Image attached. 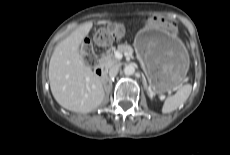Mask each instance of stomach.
Wrapping results in <instances>:
<instances>
[{"mask_svg": "<svg viewBox=\"0 0 230 155\" xmlns=\"http://www.w3.org/2000/svg\"><path fill=\"white\" fill-rule=\"evenodd\" d=\"M133 46L154 94L169 92L186 77L189 55L177 36L146 27L137 33Z\"/></svg>", "mask_w": 230, "mask_h": 155, "instance_id": "stomach-1", "label": "stomach"}]
</instances>
